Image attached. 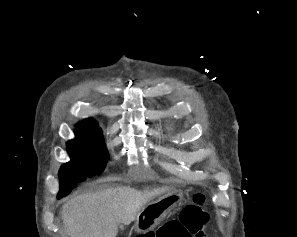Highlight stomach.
Here are the masks:
<instances>
[{"label": "stomach", "mask_w": 297, "mask_h": 237, "mask_svg": "<svg viewBox=\"0 0 297 237\" xmlns=\"http://www.w3.org/2000/svg\"><path fill=\"white\" fill-rule=\"evenodd\" d=\"M181 200L182 193L173 191L146 205L137 215L135 230L140 234L152 231Z\"/></svg>", "instance_id": "0dacf381"}]
</instances>
